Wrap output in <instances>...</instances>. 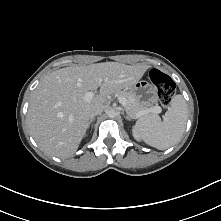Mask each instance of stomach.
Listing matches in <instances>:
<instances>
[{
	"instance_id": "0dacf381",
	"label": "stomach",
	"mask_w": 221,
	"mask_h": 221,
	"mask_svg": "<svg viewBox=\"0 0 221 221\" xmlns=\"http://www.w3.org/2000/svg\"><path fill=\"white\" fill-rule=\"evenodd\" d=\"M130 92L144 107H149L156 101V90L154 86L145 80L137 81L135 84H133L130 87Z\"/></svg>"
}]
</instances>
